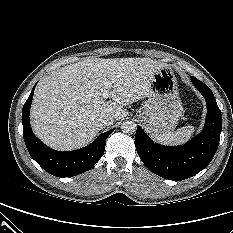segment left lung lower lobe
Returning a JSON list of instances; mask_svg holds the SVG:
<instances>
[{
    "label": "left lung lower lobe",
    "instance_id": "0a47b994",
    "mask_svg": "<svg viewBox=\"0 0 233 233\" xmlns=\"http://www.w3.org/2000/svg\"><path fill=\"white\" fill-rule=\"evenodd\" d=\"M191 81L207 102L203 131L184 145L167 147L154 143L137 126L135 144L142 162L153 173L169 180H184L206 168L214 157L220 140L222 115L210 88L191 76Z\"/></svg>",
    "mask_w": 233,
    "mask_h": 233
}]
</instances>
